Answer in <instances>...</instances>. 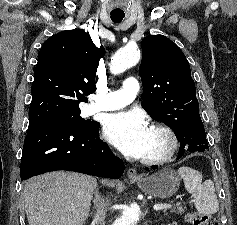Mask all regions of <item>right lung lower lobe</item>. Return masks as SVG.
I'll return each instance as SVG.
<instances>
[{
  "label": "right lung lower lobe",
  "mask_w": 237,
  "mask_h": 225,
  "mask_svg": "<svg viewBox=\"0 0 237 225\" xmlns=\"http://www.w3.org/2000/svg\"><path fill=\"white\" fill-rule=\"evenodd\" d=\"M99 127L77 130L52 122L29 123L22 158L21 180L55 171H76L118 179L123 162L99 138Z\"/></svg>",
  "instance_id": "obj_1"
}]
</instances>
